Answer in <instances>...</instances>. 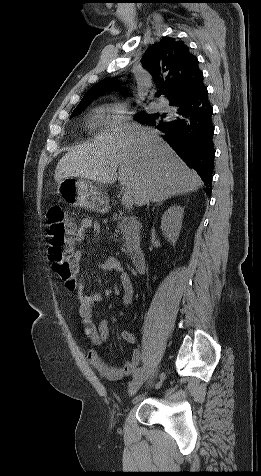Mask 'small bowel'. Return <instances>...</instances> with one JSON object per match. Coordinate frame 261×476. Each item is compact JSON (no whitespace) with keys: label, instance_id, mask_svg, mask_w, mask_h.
I'll use <instances>...</instances> for the list:
<instances>
[{"label":"small bowel","instance_id":"obj_1","mask_svg":"<svg viewBox=\"0 0 261 476\" xmlns=\"http://www.w3.org/2000/svg\"><path fill=\"white\" fill-rule=\"evenodd\" d=\"M91 230L96 236L100 235V224L90 218L82 219L80 226L77 228L74 238L77 242H83L87 236V232ZM83 259V251L75 250L72 252L71 261L77 269ZM102 270H115L120 273V281L123 288L122 301L126 308H129L134 299V289L131 278L127 271L122 266L120 260L114 256H108L103 262L99 264ZM75 289L78 295V313L81 318L82 326L86 337L93 346L101 345L109 339L108 323L105 319H101L98 323L94 321V313L96 306L102 301V296L99 293L86 294L84 292V285L82 281L76 283ZM122 339L130 344L136 343L135 336L129 331H122ZM142 353L140 348L135 347L132 350L130 359L121 366H111L106 364L100 354L91 349L88 353V360L91 366L98 371L102 376L109 380H119L124 376H128L138 368L141 361Z\"/></svg>","mask_w":261,"mask_h":476}]
</instances>
